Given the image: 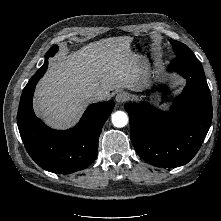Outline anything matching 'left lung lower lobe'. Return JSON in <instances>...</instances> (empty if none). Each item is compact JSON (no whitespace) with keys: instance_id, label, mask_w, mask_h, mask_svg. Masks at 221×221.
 <instances>
[{"instance_id":"obj_1","label":"left lung lower lobe","mask_w":221,"mask_h":221,"mask_svg":"<svg viewBox=\"0 0 221 221\" xmlns=\"http://www.w3.org/2000/svg\"><path fill=\"white\" fill-rule=\"evenodd\" d=\"M170 68L187 84L173 109L162 112L147 103L125 105L136 152L158 167H179L199 150L212 121L211 94L195 55L172 60Z\"/></svg>"}]
</instances>
